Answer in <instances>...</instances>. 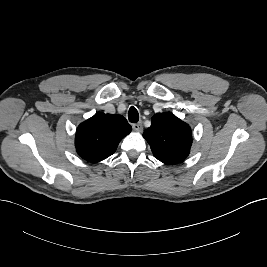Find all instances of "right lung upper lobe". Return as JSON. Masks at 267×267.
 Here are the masks:
<instances>
[{
    "mask_svg": "<svg viewBox=\"0 0 267 267\" xmlns=\"http://www.w3.org/2000/svg\"><path fill=\"white\" fill-rule=\"evenodd\" d=\"M131 130L126 118L121 115L96 113L77 128V153L88 162L102 161L116 151L121 139Z\"/></svg>",
    "mask_w": 267,
    "mask_h": 267,
    "instance_id": "1",
    "label": "right lung upper lobe"
}]
</instances>
